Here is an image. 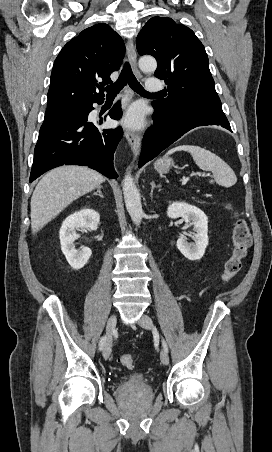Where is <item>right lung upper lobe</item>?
<instances>
[{"label": "right lung upper lobe", "mask_w": 272, "mask_h": 452, "mask_svg": "<svg viewBox=\"0 0 272 452\" xmlns=\"http://www.w3.org/2000/svg\"><path fill=\"white\" fill-rule=\"evenodd\" d=\"M124 54L122 38L109 25L83 30L54 62L45 115L70 113L102 101L103 86L112 82L110 74L119 70Z\"/></svg>", "instance_id": "right-lung-upper-lobe-1"}]
</instances>
